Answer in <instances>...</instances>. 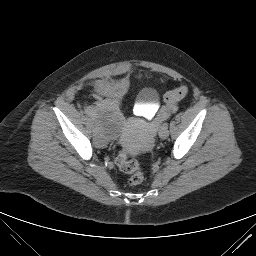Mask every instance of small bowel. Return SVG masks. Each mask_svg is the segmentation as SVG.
Instances as JSON below:
<instances>
[{
	"instance_id": "obj_1",
	"label": "small bowel",
	"mask_w": 256,
	"mask_h": 256,
	"mask_svg": "<svg viewBox=\"0 0 256 256\" xmlns=\"http://www.w3.org/2000/svg\"><path fill=\"white\" fill-rule=\"evenodd\" d=\"M126 83H127V80L124 79L122 85L119 86V88H117V90L115 91L114 90L115 88L112 83L105 81V80L98 81L96 84V87H97V90L99 91L100 95H104L105 93L110 92V91L111 92L115 91L113 93L112 99H104L102 97H99V100L101 102L107 103L109 106L115 108L117 106L121 96L123 95V92L125 89L124 87H125ZM172 110H173L172 107L163 108L157 115L156 120L159 121V120L166 118ZM154 125H155V123H153V126Z\"/></svg>"
}]
</instances>
